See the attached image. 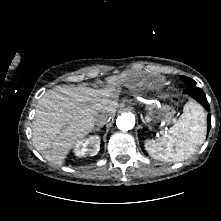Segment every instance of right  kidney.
<instances>
[{
  "instance_id": "ca27d5eb",
  "label": "right kidney",
  "mask_w": 221,
  "mask_h": 221,
  "mask_svg": "<svg viewBox=\"0 0 221 221\" xmlns=\"http://www.w3.org/2000/svg\"><path fill=\"white\" fill-rule=\"evenodd\" d=\"M100 150V137L90 136L89 138L79 141L75 148L74 153L77 157L95 156Z\"/></svg>"
}]
</instances>
